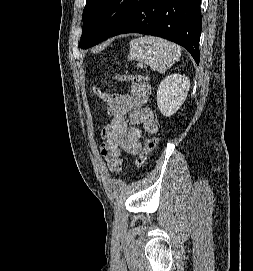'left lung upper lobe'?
<instances>
[{"mask_svg": "<svg viewBox=\"0 0 253 271\" xmlns=\"http://www.w3.org/2000/svg\"><path fill=\"white\" fill-rule=\"evenodd\" d=\"M133 5V0H87L83 10L80 47L99 44L119 26Z\"/></svg>", "mask_w": 253, "mask_h": 271, "instance_id": "left-lung-upper-lobe-1", "label": "left lung upper lobe"}]
</instances>
